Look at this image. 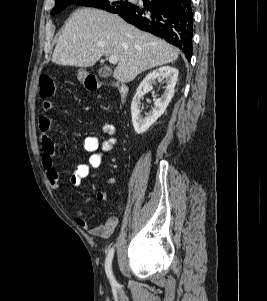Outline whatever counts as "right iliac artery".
<instances>
[{
	"instance_id": "right-iliac-artery-1",
	"label": "right iliac artery",
	"mask_w": 267,
	"mask_h": 301,
	"mask_svg": "<svg viewBox=\"0 0 267 301\" xmlns=\"http://www.w3.org/2000/svg\"><path fill=\"white\" fill-rule=\"evenodd\" d=\"M113 255H114V248L112 247L109 252L108 255L106 257V261H105V271H106V275L110 281L111 284H115V278L113 276V272H112V259H113Z\"/></svg>"
}]
</instances>
